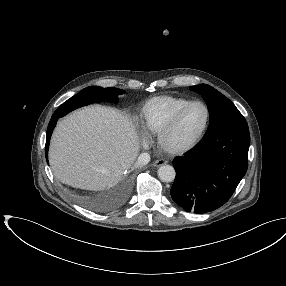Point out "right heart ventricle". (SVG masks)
Masks as SVG:
<instances>
[{
    "mask_svg": "<svg viewBox=\"0 0 286 286\" xmlns=\"http://www.w3.org/2000/svg\"><path fill=\"white\" fill-rule=\"evenodd\" d=\"M191 99L175 96H156L147 100L141 109V124L143 130L150 135H156L161 128Z\"/></svg>",
    "mask_w": 286,
    "mask_h": 286,
    "instance_id": "e07e8e85",
    "label": "right heart ventricle"
}]
</instances>
